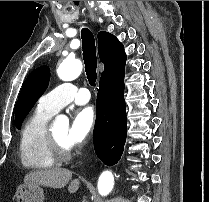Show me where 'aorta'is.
<instances>
[{
  "instance_id": "1",
  "label": "aorta",
  "mask_w": 209,
  "mask_h": 202,
  "mask_svg": "<svg viewBox=\"0 0 209 202\" xmlns=\"http://www.w3.org/2000/svg\"><path fill=\"white\" fill-rule=\"evenodd\" d=\"M82 72V62L78 59H65L57 68V75L63 81L76 79ZM58 124H68L66 116H58ZM98 192L102 196L108 195L114 187V175L111 171H103L98 179Z\"/></svg>"
}]
</instances>
